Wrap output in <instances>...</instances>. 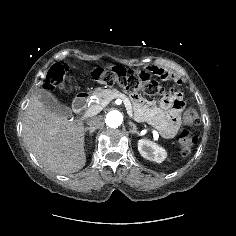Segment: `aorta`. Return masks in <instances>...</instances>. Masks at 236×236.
<instances>
[{
    "mask_svg": "<svg viewBox=\"0 0 236 236\" xmlns=\"http://www.w3.org/2000/svg\"><path fill=\"white\" fill-rule=\"evenodd\" d=\"M105 122L110 128H118L123 122L122 113L117 110L110 111L106 115Z\"/></svg>",
    "mask_w": 236,
    "mask_h": 236,
    "instance_id": "1",
    "label": "aorta"
}]
</instances>
